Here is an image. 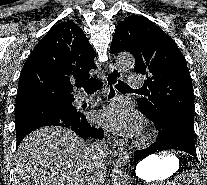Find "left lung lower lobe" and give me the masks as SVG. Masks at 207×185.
I'll use <instances>...</instances> for the list:
<instances>
[{
	"label": "left lung lower lobe",
	"instance_id": "0a47b994",
	"mask_svg": "<svg viewBox=\"0 0 207 185\" xmlns=\"http://www.w3.org/2000/svg\"><path fill=\"white\" fill-rule=\"evenodd\" d=\"M156 129L158 130L156 142L150 147L135 151V163L151 154L168 149L181 150L196 157L194 136L181 125L168 123L164 127H156Z\"/></svg>",
	"mask_w": 207,
	"mask_h": 185
}]
</instances>
